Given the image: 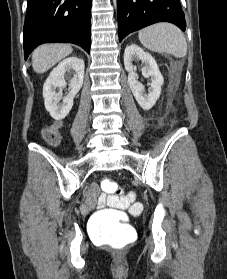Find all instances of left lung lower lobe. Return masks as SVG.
<instances>
[{"instance_id":"obj_1","label":"left lung lower lobe","mask_w":227,"mask_h":279,"mask_svg":"<svg viewBox=\"0 0 227 279\" xmlns=\"http://www.w3.org/2000/svg\"><path fill=\"white\" fill-rule=\"evenodd\" d=\"M119 42L131 32L157 22H171L186 29L179 0H117Z\"/></svg>"}]
</instances>
